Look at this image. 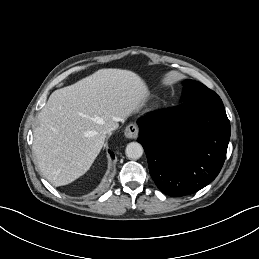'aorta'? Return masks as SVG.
Segmentation results:
<instances>
[{
	"label": "aorta",
	"mask_w": 259,
	"mask_h": 259,
	"mask_svg": "<svg viewBox=\"0 0 259 259\" xmlns=\"http://www.w3.org/2000/svg\"><path fill=\"white\" fill-rule=\"evenodd\" d=\"M126 156L130 159H139L143 154V147L138 142H131L126 146Z\"/></svg>",
	"instance_id": "1"
}]
</instances>
